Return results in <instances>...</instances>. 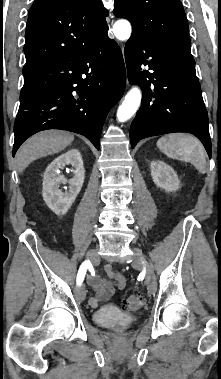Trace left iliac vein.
Segmentation results:
<instances>
[{
    "label": "left iliac vein",
    "instance_id": "1",
    "mask_svg": "<svg viewBox=\"0 0 221 379\" xmlns=\"http://www.w3.org/2000/svg\"><path fill=\"white\" fill-rule=\"evenodd\" d=\"M133 251H134V257L131 262V265L134 268H138V269L145 267L146 269L145 282L147 285V289L150 293H154L157 289V281H156L155 274L152 268L148 266L147 264H145L144 255L142 251L138 248H134Z\"/></svg>",
    "mask_w": 221,
    "mask_h": 379
}]
</instances>
